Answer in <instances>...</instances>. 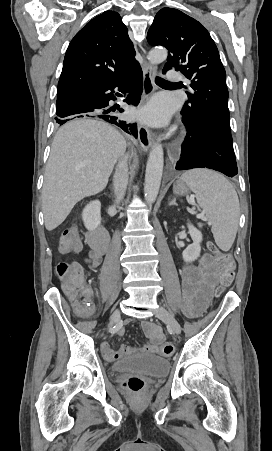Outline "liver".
I'll return each instance as SVG.
<instances>
[{"mask_svg": "<svg viewBox=\"0 0 272 451\" xmlns=\"http://www.w3.org/2000/svg\"><path fill=\"white\" fill-rule=\"evenodd\" d=\"M125 150V138L106 122L76 118L59 128L42 190L46 229L60 226L83 198L102 192Z\"/></svg>", "mask_w": 272, "mask_h": 451, "instance_id": "obj_1", "label": "liver"}]
</instances>
